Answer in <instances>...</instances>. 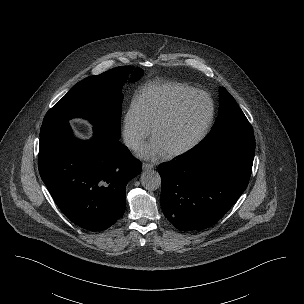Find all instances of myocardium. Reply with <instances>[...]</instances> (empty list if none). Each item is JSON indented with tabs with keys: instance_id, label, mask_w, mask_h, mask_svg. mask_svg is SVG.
Wrapping results in <instances>:
<instances>
[{
	"instance_id": "1",
	"label": "myocardium",
	"mask_w": 304,
	"mask_h": 304,
	"mask_svg": "<svg viewBox=\"0 0 304 304\" xmlns=\"http://www.w3.org/2000/svg\"><path fill=\"white\" fill-rule=\"evenodd\" d=\"M195 98H204L208 102L209 111L206 120L196 137L191 142L179 149L167 153L170 158L183 156L191 152L204 140L211 128L215 114V106L212 98L207 93L199 90L189 93L180 98L171 108L159 116L152 125V134L155 136L156 131L162 124L174 117L187 102Z\"/></svg>"
}]
</instances>
